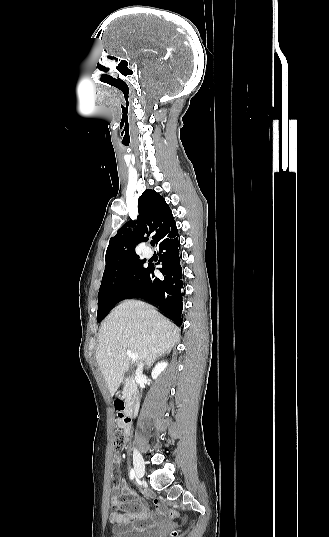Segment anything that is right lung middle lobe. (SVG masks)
<instances>
[{
  "label": "right lung middle lobe",
  "mask_w": 329,
  "mask_h": 537,
  "mask_svg": "<svg viewBox=\"0 0 329 537\" xmlns=\"http://www.w3.org/2000/svg\"><path fill=\"white\" fill-rule=\"evenodd\" d=\"M144 263V260L134 258L105 267L98 293V322L104 319L116 303L128 298L132 290L140 283L146 269Z\"/></svg>",
  "instance_id": "dd1d6c3e"
}]
</instances>
